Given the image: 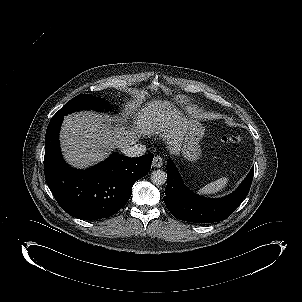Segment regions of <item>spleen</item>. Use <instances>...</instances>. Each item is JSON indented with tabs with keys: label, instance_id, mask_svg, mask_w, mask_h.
<instances>
[{
	"label": "spleen",
	"instance_id": "obj_1",
	"mask_svg": "<svg viewBox=\"0 0 302 302\" xmlns=\"http://www.w3.org/2000/svg\"><path fill=\"white\" fill-rule=\"evenodd\" d=\"M227 183H228L227 177L219 178L216 181H213V182L205 185L204 187L200 188L198 190V193L201 195L215 194V193L221 191L222 189H224L226 187Z\"/></svg>",
	"mask_w": 302,
	"mask_h": 302
}]
</instances>
